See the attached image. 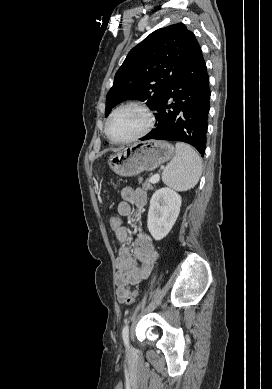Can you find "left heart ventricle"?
<instances>
[{
  "label": "left heart ventricle",
  "instance_id": "obj_1",
  "mask_svg": "<svg viewBox=\"0 0 272 389\" xmlns=\"http://www.w3.org/2000/svg\"><path fill=\"white\" fill-rule=\"evenodd\" d=\"M144 114L136 108H125L117 112L109 124L110 136L115 140L129 138L145 125Z\"/></svg>",
  "mask_w": 272,
  "mask_h": 389
}]
</instances>
